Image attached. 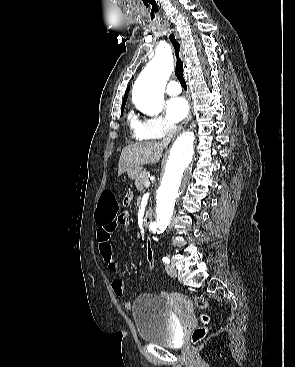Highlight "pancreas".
<instances>
[{
  "label": "pancreas",
  "instance_id": "1",
  "mask_svg": "<svg viewBox=\"0 0 295 367\" xmlns=\"http://www.w3.org/2000/svg\"><path fill=\"white\" fill-rule=\"evenodd\" d=\"M146 181H148L146 173H142L140 177L137 180H135V186L137 187L139 191L144 190V184Z\"/></svg>",
  "mask_w": 295,
  "mask_h": 367
}]
</instances>
